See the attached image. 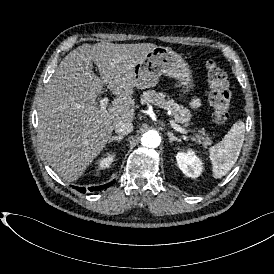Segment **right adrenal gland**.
<instances>
[{
	"instance_id": "2a0ac1e0",
	"label": "right adrenal gland",
	"mask_w": 274,
	"mask_h": 274,
	"mask_svg": "<svg viewBox=\"0 0 274 274\" xmlns=\"http://www.w3.org/2000/svg\"><path fill=\"white\" fill-rule=\"evenodd\" d=\"M122 139H123V135H118V136L112 138V139L108 142V147H110V146L112 145V143H114V142L120 143Z\"/></svg>"
}]
</instances>
